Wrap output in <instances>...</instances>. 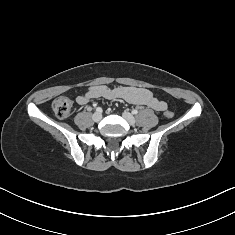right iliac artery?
Returning <instances> with one entry per match:
<instances>
[{
	"instance_id": "obj_1",
	"label": "right iliac artery",
	"mask_w": 235,
	"mask_h": 235,
	"mask_svg": "<svg viewBox=\"0 0 235 235\" xmlns=\"http://www.w3.org/2000/svg\"><path fill=\"white\" fill-rule=\"evenodd\" d=\"M96 111H97V112H101V111H102V108L97 107V108H96Z\"/></svg>"
}]
</instances>
